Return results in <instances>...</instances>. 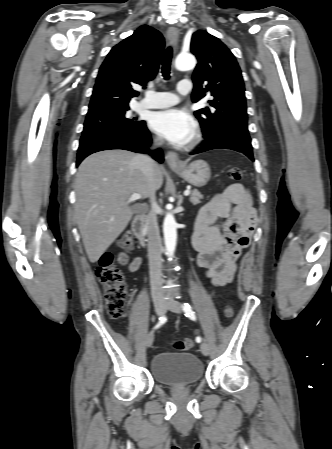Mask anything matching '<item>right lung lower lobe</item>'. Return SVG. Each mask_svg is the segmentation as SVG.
<instances>
[{"instance_id": "98d812e1", "label": "right lung lower lobe", "mask_w": 332, "mask_h": 449, "mask_svg": "<svg viewBox=\"0 0 332 449\" xmlns=\"http://www.w3.org/2000/svg\"><path fill=\"white\" fill-rule=\"evenodd\" d=\"M151 135L146 125L132 132L100 131L82 135L78 148L76 166L88 155L110 149H124L139 153H149L155 160L162 163L163 153L160 149L149 152Z\"/></svg>"}]
</instances>
